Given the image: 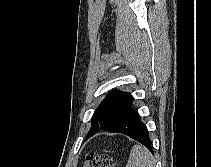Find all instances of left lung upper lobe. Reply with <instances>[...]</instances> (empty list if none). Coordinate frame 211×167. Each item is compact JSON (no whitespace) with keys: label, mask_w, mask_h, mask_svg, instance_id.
I'll return each instance as SVG.
<instances>
[{"label":"left lung upper lobe","mask_w":211,"mask_h":167,"mask_svg":"<svg viewBox=\"0 0 211 167\" xmlns=\"http://www.w3.org/2000/svg\"><path fill=\"white\" fill-rule=\"evenodd\" d=\"M133 96L126 92L113 91L100 103L92 116L89 132L114 120L132 101Z\"/></svg>","instance_id":"left-lung-upper-lobe-1"}]
</instances>
